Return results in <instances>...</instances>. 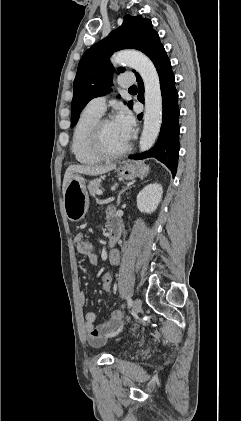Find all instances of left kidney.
I'll list each match as a JSON object with an SVG mask.
<instances>
[{"label": "left kidney", "instance_id": "left-kidney-1", "mask_svg": "<svg viewBox=\"0 0 241 421\" xmlns=\"http://www.w3.org/2000/svg\"><path fill=\"white\" fill-rule=\"evenodd\" d=\"M162 194L163 189L160 184H148L137 195L138 209L143 213H153L162 200Z\"/></svg>", "mask_w": 241, "mask_h": 421}]
</instances>
